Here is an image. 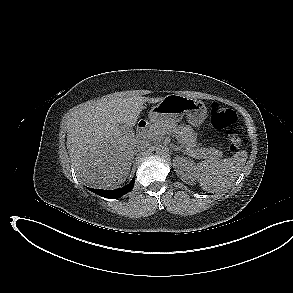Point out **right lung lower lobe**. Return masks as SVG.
Returning <instances> with one entry per match:
<instances>
[{"mask_svg":"<svg viewBox=\"0 0 293 293\" xmlns=\"http://www.w3.org/2000/svg\"><path fill=\"white\" fill-rule=\"evenodd\" d=\"M133 185H134V179L127 186H124L123 188H119L116 190H101V189H93V188H88V189L102 197L115 199L131 191L133 188Z\"/></svg>","mask_w":293,"mask_h":293,"instance_id":"1","label":"right lung lower lobe"}]
</instances>
